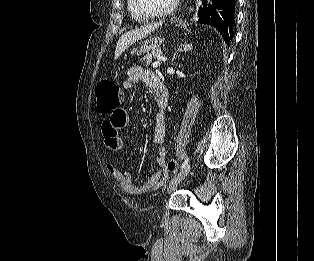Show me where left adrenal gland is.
<instances>
[{
    "instance_id": "obj_1",
    "label": "left adrenal gland",
    "mask_w": 314,
    "mask_h": 261,
    "mask_svg": "<svg viewBox=\"0 0 314 261\" xmlns=\"http://www.w3.org/2000/svg\"><path fill=\"white\" fill-rule=\"evenodd\" d=\"M192 48H193V45H192V44H187L186 42H185V43H181V44L178 46L177 51H176L175 54L173 55L172 61H174V59L176 58L177 53L183 52V51H184V52H187V51L192 50Z\"/></svg>"
}]
</instances>
